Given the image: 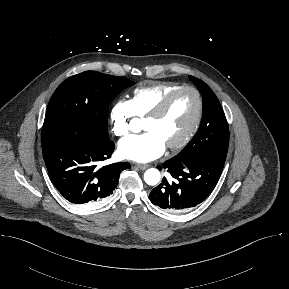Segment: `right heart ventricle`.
I'll use <instances>...</instances> for the list:
<instances>
[{"instance_id":"obj_1","label":"right heart ventricle","mask_w":289,"mask_h":289,"mask_svg":"<svg viewBox=\"0 0 289 289\" xmlns=\"http://www.w3.org/2000/svg\"><path fill=\"white\" fill-rule=\"evenodd\" d=\"M180 86L172 82H158L136 88L130 100L134 116L146 117L169 92Z\"/></svg>"}]
</instances>
